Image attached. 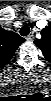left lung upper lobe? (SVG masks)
Wrapping results in <instances>:
<instances>
[{"label": "left lung upper lobe", "mask_w": 51, "mask_h": 101, "mask_svg": "<svg viewBox=\"0 0 51 101\" xmlns=\"http://www.w3.org/2000/svg\"><path fill=\"white\" fill-rule=\"evenodd\" d=\"M41 35V39L35 40L34 43L41 49L45 58L51 62V25L45 27Z\"/></svg>", "instance_id": "left-lung-upper-lobe-1"}]
</instances>
